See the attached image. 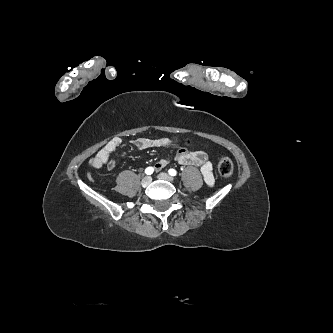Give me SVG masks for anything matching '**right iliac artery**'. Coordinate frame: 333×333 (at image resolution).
Here are the masks:
<instances>
[{
	"instance_id": "82829eb1",
	"label": "right iliac artery",
	"mask_w": 333,
	"mask_h": 333,
	"mask_svg": "<svg viewBox=\"0 0 333 333\" xmlns=\"http://www.w3.org/2000/svg\"><path fill=\"white\" fill-rule=\"evenodd\" d=\"M153 171H154L153 167H148V168H146L145 173L147 175H151L153 173Z\"/></svg>"
}]
</instances>
